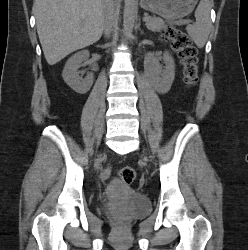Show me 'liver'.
<instances>
[{
	"instance_id": "liver-1",
	"label": "liver",
	"mask_w": 248,
	"mask_h": 250,
	"mask_svg": "<svg viewBox=\"0 0 248 250\" xmlns=\"http://www.w3.org/2000/svg\"><path fill=\"white\" fill-rule=\"evenodd\" d=\"M104 7L105 0H35L37 33L49 65L100 39Z\"/></svg>"
}]
</instances>
